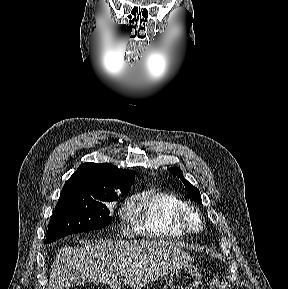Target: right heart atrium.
Returning a JSON list of instances; mask_svg holds the SVG:
<instances>
[{
	"instance_id": "obj_1",
	"label": "right heart atrium",
	"mask_w": 288,
	"mask_h": 289,
	"mask_svg": "<svg viewBox=\"0 0 288 289\" xmlns=\"http://www.w3.org/2000/svg\"><path fill=\"white\" fill-rule=\"evenodd\" d=\"M121 213L123 217H129L130 215H132L133 210L131 208V205L129 203H126L122 209H121Z\"/></svg>"
}]
</instances>
